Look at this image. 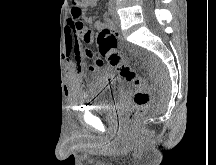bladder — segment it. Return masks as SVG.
I'll list each match as a JSON object with an SVG mask.
<instances>
[{"instance_id": "obj_1", "label": "bladder", "mask_w": 216, "mask_h": 165, "mask_svg": "<svg viewBox=\"0 0 216 165\" xmlns=\"http://www.w3.org/2000/svg\"><path fill=\"white\" fill-rule=\"evenodd\" d=\"M84 85L91 89L87 96L92 98V101H88L92 111H109L112 103H117L118 97H125L123 89H119L123 82L109 70L102 71L99 76H91V81H85Z\"/></svg>"}]
</instances>
